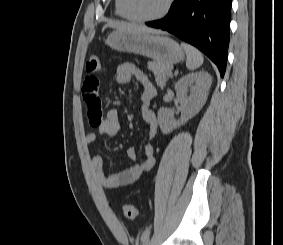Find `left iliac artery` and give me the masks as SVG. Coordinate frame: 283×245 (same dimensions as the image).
<instances>
[{
  "label": "left iliac artery",
  "instance_id": "obj_1",
  "mask_svg": "<svg viewBox=\"0 0 283 245\" xmlns=\"http://www.w3.org/2000/svg\"><path fill=\"white\" fill-rule=\"evenodd\" d=\"M149 235H150V229H146V230L142 233L141 240L144 241V240L148 239V238H149Z\"/></svg>",
  "mask_w": 283,
  "mask_h": 245
}]
</instances>
